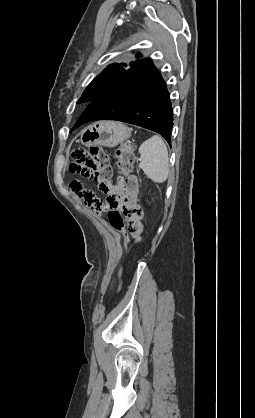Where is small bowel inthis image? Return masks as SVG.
Listing matches in <instances>:
<instances>
[{"instance_id":"obj_1","label":"small bowel","mask_w":255,"mask_h":418,"mask_svg":"<svg viewBox=\"0 0 255 418\" xmlns=\"http://www.w3.org/2000/svg\"><path fill=\"white\" fill-rule=\"evenodd\" d=\"M115 192L122 195L124 202V208L126 210L131 209L136 205L138 192H139V183L136 176H130L127 179L120 182V185L114 189ZM126 234L129 237H133L135 241H138L140 237H145L146 230L145 228H128ZM135 247L139 246L138 242L134 243Z\"/></svg>"}]
</instances>
